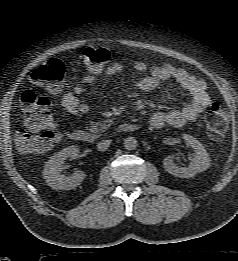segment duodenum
Instances as JSON below:
<instances>
[{"instance_id":"410a0bca","label":"duodenum","mask_w":238,"mask_h":261,"mask_svg":"<svg viewBox=\"0 0 238 261\" xmlns=\"http://www.w3.org/2000/svg\"><path fill=\"white\" fill-rule=\"evenodd\" d=\"M138 126L134 123H123L119 126L121 132H133ZM70 139L77 143L91 144L95 141V136L85 130H74L70 133Z\"/></svg>"}]
</instances>
